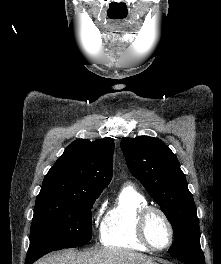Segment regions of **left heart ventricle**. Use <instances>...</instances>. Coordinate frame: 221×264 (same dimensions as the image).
<instances>
[{
  "mask_svg": "<svg viewBox=\"0 0 221 264\" xmlns=\"http://www.w3.org/2000/svg\"><path fill=\"white\" fill-rule=\"evenodd\" d=\"M147 233L150 241L157 247L165 246L169 241V229L163 218L152 213L147 223Z\"/></svg>",
  "mask_w": 221,
  "mask_h": 264,
  "instance_id": "left-heart-ventricle-1",
  "label": "left heart ventricle"
}]
</instances>
